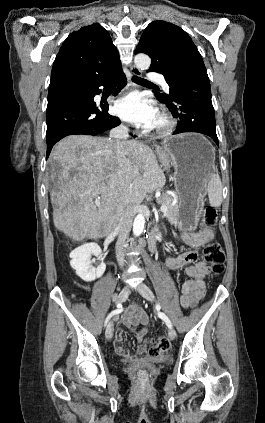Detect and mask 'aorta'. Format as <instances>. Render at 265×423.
<instances>
[{
    "label": "aorta",
    "instance_id": "762f6f07",
    "mask_svg": "<svg viewBox=\"0 0 265 423\" xmlns=\"http://www.w3.org/2000/svg\"><path fill=\"white\" fill-rule=\"evenodd\" d=\"M135 65L138 69L147 70L150 67L151 59L148 55L140 53L137 54L134 58ZM145 216L143 214H138L133 222V234L138 237L142 234L145 226Z\"/></svg>",
    "mask_w": 265,
    "mask_h": 423
}]
</instances>
